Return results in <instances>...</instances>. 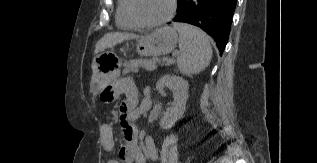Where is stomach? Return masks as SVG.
Wrapping results in <instances>:
<instances>
[{
	"label": "stomach",
	"mask_w": 317,
	"mask_h": 163,
	"mask_svg": "<svg viewBox=\"0 0 317 163\" xmlns=\"http://www.w3.org/2000/svg\"><path fill=\"white\" fill-rule=\"evenodd\" d=\"M177 42L176 30L164 26L139 39L136 51L142 57L165 55L175 49ZM102 56H96L92 65L93 75L90 82V92L95 96L101 93L118 75V68L104 63L101 59Z\"/></svg>",
	"instance_id": "obj_1"
}]
</instances>
